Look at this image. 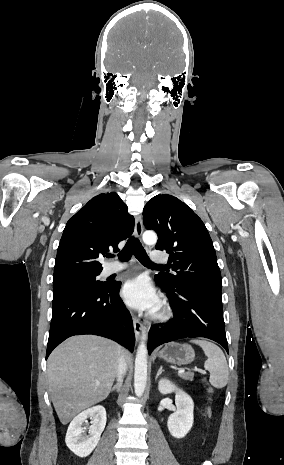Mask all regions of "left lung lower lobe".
<instances>
[{"label":"left lung lower lobe","mask_w":284,"mask_h":465,"mask_svg":"<svg viewBox=\"0 0 284 465\" xmlns=\"http://www.w3.org/2000/svg\"><path fill=\"white\" fill-rule=\"evenodd\" d=\"M155 280L167 293L175 316L165 327L150 329L149 353L163 343L188 337L214 340L228 352L220 290L201 285H179L171 290Z\"/></svg>","instance_id":"left-lung-lower-lobe-1"}]
</instances>
